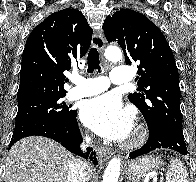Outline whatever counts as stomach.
I'll use <instances>...</instances> for the list:
<instances>
[{"mask_svg": "<svg viewBox=\"0 0 196 182\" xmlns=\"http://www.w3.org/2000/svg\"><path fill=\"white\" fill-rule=\"evenodd\" d=\"M159 157H142L133 161L126 169V176L133 182H138L147 173L157 170L162 165Z\"/></svg>", "mask_w": 196, "mask_h": 182, "instance_id": "1", "label": "stomach"}]
</instances>
